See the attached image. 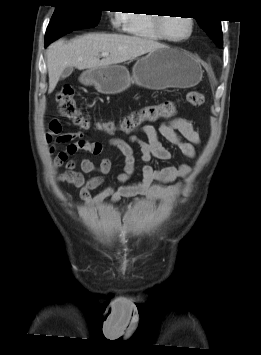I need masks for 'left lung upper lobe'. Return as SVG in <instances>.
<instances>
[{
  "instance_id": "obj_1",
  "label": "left lung upper lobe",
  "mask_w": 261,
  "mask_h": 355,
  "mask_svg": "<svg viewBox=\"0 0 261 355\" xmlns=\"http://www.w3.org/2000/svg\"><path fill=\"white\" fill-rule=\"evenodd\" d=\"M200 27L207 33V35L216 43L217 46H223V37L220 20L211 19H196Z\"/></svg>"
}]
</instances>
